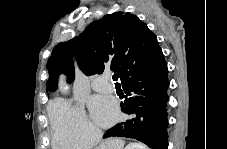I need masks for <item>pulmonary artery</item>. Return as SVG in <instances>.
Here are the masks:
<instances>
[{
  "label": "pulmonary artery",
  "instance_id": "pulmonary-artery-1",
  "mask_svg": "<svg viewBox=\"0 0 227 149\" xmlns=\"http://www.w3.org/2000/svg\"><path fill=\"white\" fill-rule=\"evenodd\" d=\"M110 81L111 80L109 76L102 75L94 79V81L92 82V86L96 90H101V91L111 90L112 86Z\"/></svg>",
  "mask_w": 227,
  "mask_h": 149
}]
</instances>
